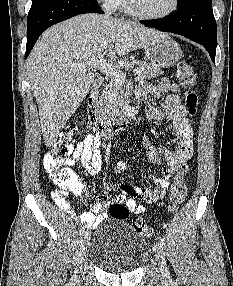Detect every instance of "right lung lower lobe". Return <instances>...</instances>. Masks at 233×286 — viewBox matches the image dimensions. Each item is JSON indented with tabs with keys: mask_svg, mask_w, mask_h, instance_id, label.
<instances>
[{
	"mask_svg": "<svg viewBox=\"0 0 233 286\" xmlns=\"http://www.w3.org/2000/svg\"><path fill=\"white\" fill-rule=\"evenodd\" d=\"M84 13H104L97 0H37L32 2L27 19L25 58L38 37L50 26Z\"/></svg>",
	"mask_w": 233,
	"mask_h": 286,
	"instance_id": "right-lung-lower-lobe-1",
	"label": "right lung lower lobe"
}]
</instances>
